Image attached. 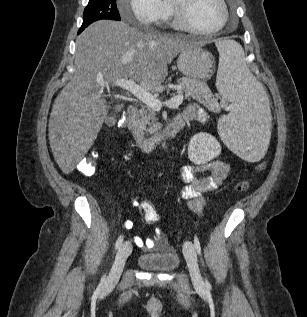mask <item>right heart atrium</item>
Wrapping results in <instances>:
<instances>
[{
	"mask_svg": "<svg viewBox=\"0 0 307 317\" xmlns=\"http://www.w3.org/2000/svg\"><path fill=\"white\" fill-rule=\"evenodd\" d=\"M128 6L122 5L119 10L125 19L132 17L143 26L162 22L165 17V6L162 0H126Z\"/></svg>",
	"mask_w": 307,
	"mask_h": 317,
	"instance_id": "obj_1",
	"label": "right heart atrium"
}]
</instances>
